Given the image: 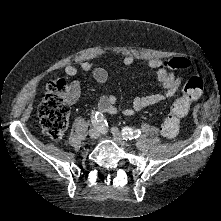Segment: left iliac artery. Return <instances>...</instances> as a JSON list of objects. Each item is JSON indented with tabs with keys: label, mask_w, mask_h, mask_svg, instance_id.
I'll list each match as a JSON object with an SVG mask.
<instances>
[{
	"label": "left iliac artery",
	"mask_w": 221,
	"mask_h": 221,
	"mask_svg": "<svg viewBox=\"0 0 221 221\" xmlns=\"http://www.w3.org/2000/svg\"><path fill=\"white\" fill-rule=\"evenodd\" d=\"M140 134H141L140 129L132 130L129 127H124L122 129V136L125 140H128V139L131 140V139L137 138L139 137Z\"/></svg>",
	"instance_id": "obj_1"
}]
</instances>
